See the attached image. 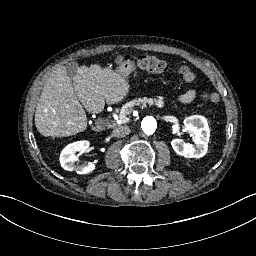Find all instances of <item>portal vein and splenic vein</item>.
Masks as SVG:
<instances>
[{"label": "portal vein and splenic vein", "instance_id": "1", "mask_svg": "<svg viewBox=\"0 0 256 256\" xmlns=\"http://www.w3.org/2000/svg\"><path fill=\"white\" fill-rule=\"evenodd\" d=\"M134 108H137V105H134Z\"/></svg>", "mask_w": 256, "mask_h": 256}]
</instances>
